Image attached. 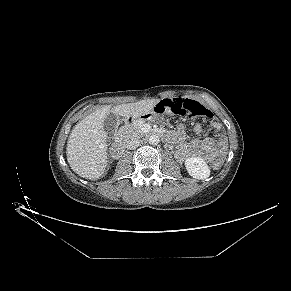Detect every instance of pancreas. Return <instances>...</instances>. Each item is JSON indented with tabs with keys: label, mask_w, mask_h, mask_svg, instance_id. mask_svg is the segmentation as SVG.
Segmentation results:
<instances>
[{
	"label": "pancreas",
	"mask_w": 291,
	"mask_h": 291,
	"mask_svg": "<svg viewBox=\"0 0 291 291\" xmlns=\"http://www.w3.org/2000/svg\"><path fill=\"white\" fill-rule=\"evenodd\" d=\"M141 125L139 122H133L122 126L119 130V136L122 138H128L132 135L141 133Z\"/></svg>",
	"instance_id": "1"
}]
</instances>
